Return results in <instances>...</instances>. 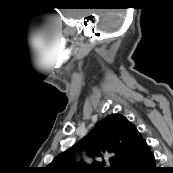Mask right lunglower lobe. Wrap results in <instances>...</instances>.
<instances>
[{
	"instance_id": "right-lung-lower-lobe-1",
	"label": "right lung lower lobe",
	"mask_w": 173,
	"mask_h": 173,
	"mask_svg": "<svg viewBox=\"0 0 173 173\" xmlns=\"http://www.w3.org/2000/svg\"><path fill=\"white\" fill-rule=\"evenodd\" d=\"M162 170L155 166V158L149 146L126 159L116 173H161Z\"/></svg>"
}]
</instances>
